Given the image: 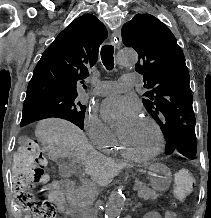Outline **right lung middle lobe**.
<instances>
[{"mask_svg":"<svg viewBox=\"0 0 211 218\" xmlns=\"http://www.w3.org/2000/svg\"><path fill=\"white\" fill-rule=\"evenodd\" d=\"M77 96L76 94L51 96L24 102L20 126L48 117H59L71 121L82 129L86 107L78 101Z\"/></svg>","mask_w":211,"mask_h":218,"instance_id":"1","label":"right lung middle lobe"}]
</instances>
